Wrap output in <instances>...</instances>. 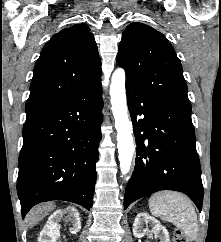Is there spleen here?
Wrapping results in <instances>:
<instances>
[{
    "instance_id": "1",
    "label": "spleen",
    "mask_w": 221,
    "mask_h": 242,
    "mask_svg": "<svg viewBox=\"0 0 221 242\" xmlns=\"http://www.w3.org/2000/svg\"><path fill=\"white\" fill-rule=\"evenodd\" d=\"M151 213L181 229L190 240L198 237L195 209L188 197L174 191H162L149 199Z\"/></svg>"
}]
</instances>
